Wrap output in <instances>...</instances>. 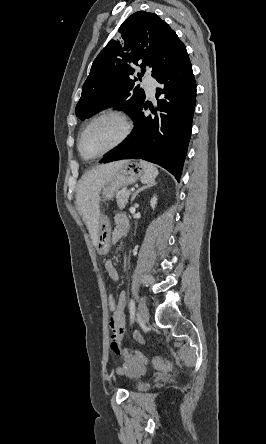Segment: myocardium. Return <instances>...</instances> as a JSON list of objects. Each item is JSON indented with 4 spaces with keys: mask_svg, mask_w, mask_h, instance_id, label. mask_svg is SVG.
<instances>
[{
    "mask_svg": "<svg viewBox=\"0 0 266 444\" xmlns=\"http://www.w3.org/2000/svg\"><path fill=\"white\" fill-rule=\"evenodd\" d=\"M103 118H113L115 120H117L122 128V132L119 136V138L106 150H104L101 153H98L94 156H102L105 155L115 149H117L118 147H120L129 137L130 133H131V126L130 123L128 122V120L126 119V117L124 115H122L119 112L116 111H105L102 112L96 116H94L81 130L79 137H78V141H77V148L79 153L81 154V156L83 157H87V155L84 153L83 148H82V140H83V136L85 134V132L87 131V129L96 121L103 119Z\"/></svg>",
    "mask_w": 266,
    "mask_h": 444,
    "instance_id": "1",
    "label": "myocardium"
}]
</instances>
